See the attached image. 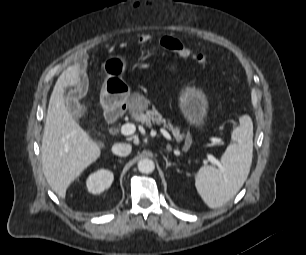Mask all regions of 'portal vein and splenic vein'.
Listing matches in <instances>:
<instances>
[{"instance_id": "obj_1", "label": "portal vein and splenic vein", "mask_w": 306, "mask_h": 255, "mask_svg": "<svg viewBox=\"0 0 306 255\" xmlns=\"http://www.w3.org/2000/svg\"><path fill=\"white\" fill-rule=\"evenodd\" d=\"M135 131H136V126L132 123H126L122 125L120 128L121 134L125 136L132 135L135 133ZM160 132L163 134L165 138L171 140L170 134L165 129H160ZM207 158L212 164L218 166L220 169L222 168L221 162L217 160L213 155L207 154Z\"/></svg>"}]
</instances>
